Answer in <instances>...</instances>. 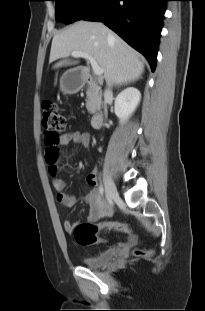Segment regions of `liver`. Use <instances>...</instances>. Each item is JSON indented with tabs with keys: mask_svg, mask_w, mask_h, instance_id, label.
<instances>
[{
	"mask_svg": "<svg viewBox=\"0 0 205 311\" xmlns=\"http://www.w3.org/2000/svg\"><path fill=\"white\" fill-rule=\"evenodd\" d=\"M72 52L93 57L103 69L108 84L134 82L144 71L138 53L103 23L81 20L57 33L52 40L49 62L68 57Z\"/></svg>",
	"mask_w": 205,
	"mask_h": 311,
	"instance_id": "obj_1",
	"label": "liver"
}]
</instances>
